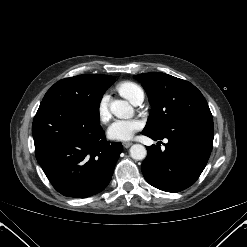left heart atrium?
<instances>
[{"instance_id": "1", "label": "left heart atrium", "mask_w": 247, "mask_h": 247, "mask_svg": "<svg viewBox=\"0 0 247 247\" xmlns=\"http://www.w3.org/2000/svg\"><path fill=\"white\" fill-rule=\"evenodd\" d=\"M142 127L143 123L139 119H120L109 126L107 135L112 140L127 141Z\"/></svg>"}]
</instances>
